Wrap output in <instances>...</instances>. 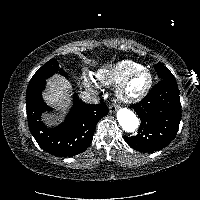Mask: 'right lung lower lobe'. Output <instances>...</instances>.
Segmentation results:
<instances>
[{"mask_svg": "<svg viewBox=\"0 0 200 200\" xmlns=\"http://www.w3.org/2000/svg\"><path fill=\"white\" fill-rule=\"evenodd\" d=\"M45 80L29 84L26 92L27 119L30 132L46 152L55 156H75L92 142L97 122L108 114L105 104H86L74 97V105L64 123L47 128L40 119L45 110L52 111L42 99Z\"/></svg>", "mask_w": 200, "mask_h": 200, "instance_id": "obj_1", "label": "right lung lower lobe"}]
</instances>
